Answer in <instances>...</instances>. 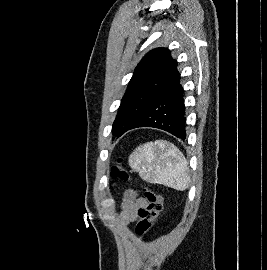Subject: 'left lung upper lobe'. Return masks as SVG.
Returning <instances> with one entry per match:
<instances>
[{
	"label": "left lung upper lobe",
	"instance_id": "obj_1",
	"mask_svg": "<svg viewBox=\"0 0 267 270\" xmlns=\"http://www.w3.org/2000/svg\"><path fill=\"white\" fill-rule=\"evenodd\" d=\"M177 62L167 48L148 52L139 62L121 100L112 126L115 136H120L132 126L144 110L156 99L171 79Z\"/></svg>",
	"mask_w": 267,
	"mask_h": 270
}]
</instances>
